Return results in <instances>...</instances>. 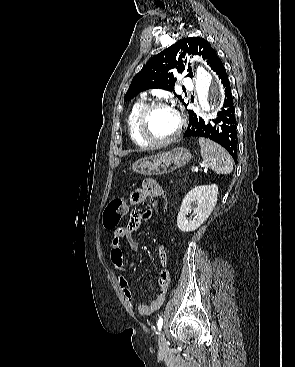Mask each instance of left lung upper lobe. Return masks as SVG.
<instances>
[{
	"instance_id": "5c2ea615",
	"label": "left lung upper lobe",
	"mask_w": 295,
	"mask_h": 367,
	"mask_svg": "<svg viewBox=\"0 0 295 367\" xmlns=\"http://www.w3.org/2000/svg\"><path fill=\"white\" fill-rule=\"evenodd\" d=\"M187 53L202 56L212 70L219 59L207 40L200 37L183 38L154 56L143 66L142 70L134 76L124 100H129L148 89L173 91L175 84L173 75L177 72H188L187 76L192 78L191 68L186 65L187 59L183 60ZM177 97L187 106L181 96Z\"/></svg>"
}]
</instances>
